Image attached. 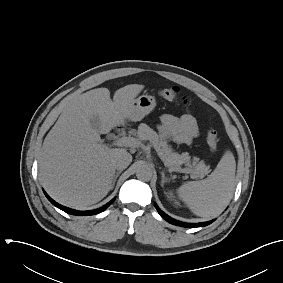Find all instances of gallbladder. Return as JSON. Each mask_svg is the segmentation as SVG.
Listing matches in <instances>:
<instances>
[{"label": "gallbladder", "instance_id": "gallbladder-1", "mask_svg": "<svg viewBox=\"0 0 283 283\" xmlns=\"http://www.w3.org/2000/svg\"><path fill=\"white\" fill-rule=\"evenodd\" d=\"M90 123H91V126L92 128L96 129V130H99L100 129V121L98 118H93L90 120Z\"/></svg>", "mask_w": 283, "mask_h": 283}]
</instances>
